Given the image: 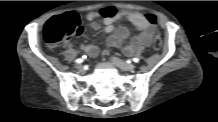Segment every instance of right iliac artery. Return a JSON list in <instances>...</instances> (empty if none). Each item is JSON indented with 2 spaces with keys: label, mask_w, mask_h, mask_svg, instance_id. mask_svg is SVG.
Listing matches in <instances>:
<instances>
[{
  "label": "right iliac artery",
  "mask_w": 218,
  "mask_h": 122,
  "mask_svg": "<svg viewBox=\"0 0 218 122\" xmlns=\"http://www.w3.org/2000/svg\"><path fill=\"white\" fill-rule=\"evenodd\" d=\"M75 62L76 63H81V62H83V60L82 59H77Z\"/></svg>",
  "instance_id": "obj_1"
}]
</instances>
